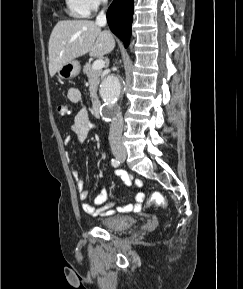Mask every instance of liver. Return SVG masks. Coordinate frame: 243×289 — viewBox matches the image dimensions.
I'll list each match as a JSON object with an SVG mask.
<instances>
[{"label":"liver","instance_id":"6515ba94","mask_svg":"<svg viewBox=\"0 0 243 289\" xmlns=\"http://www.w3.org/2000/svg\"><path fill=\"white\" fill-rule=\"evenodd\" d=\"M115 46L108 31L90 20H62L52 30L48 44L51 77L66 63L87 53L101 57Z\"/></svg>","mask_w":243,"mask_h":289}]
</instances>
